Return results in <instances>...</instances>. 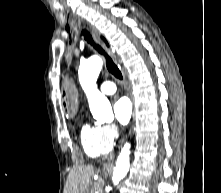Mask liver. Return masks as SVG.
<instances>
[{"mask_svg": "<svg viewBox=\"0 0 221 193\" xmlns=\"http://www.w3.org/2000/svg\"><path fill=\"white\" fill-rule=\"evenodd\" d=\"M92 174V166H74L68 176L67 193H86L91 183Z\"/></svg>", "mask_w": 221, "mask_h": 193, "instance_id": "obj_1", "label": "liver"}]
</instances>
